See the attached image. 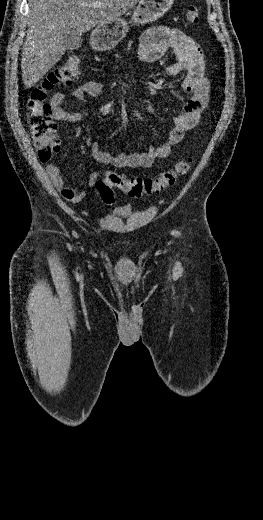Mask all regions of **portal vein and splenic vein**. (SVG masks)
Listing matches in <instances>:
<instances>
[{
	"mask_svg": "<svg viewBox=\"0 0 263 520\" xmlns=\"http://www.w3.org/2000/svg\"><path fill=\"white\" fill-rule=\"evenodd\" d=\"M88 6H90V7H99V6H101V3L100 2H94L92 4H88Z\"/></svg>",
	"mask_w": 263,
	"mask_h": 520,
	"instance_id": "18ae733b",
	"label": "portal vein and splenic vein"
}]
</instances>
